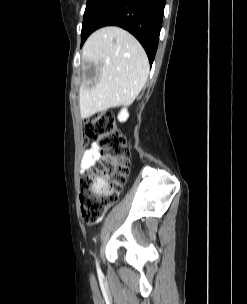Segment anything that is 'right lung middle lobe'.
Returning <instances> with one entry per match:
<instances>
[{"instance_id": "1", "label": "right lung middle lobe", "mask_w": 247, "mask_h": 304, "mask_svg": "<svg viewBox=\"0 0 247 304\" xmlns=\"http://www.w3.org/2000/svg\"><path fill=\"white\" fill-rule=\"evenodd\" d=\"M97 1L98 0H87L84 17H86L90 13V11L92 10V8L94 7V5L96 4ZM81 34H82V32H81Z\"/></svg>"}]
</instances>
